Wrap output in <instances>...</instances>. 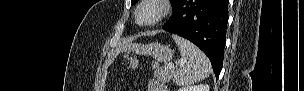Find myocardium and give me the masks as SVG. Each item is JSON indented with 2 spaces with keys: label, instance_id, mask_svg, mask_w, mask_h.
I'll return each instance as SVG.
<instances>
[{
  "label": "myocardium",
  "instance_id": "obj_1",
  "mask_svg": "<svg viewBox=\"0 0 304 91\" xmlns=\"http://www.w3.org/2000/svg\"><path fill=\"white\" fill-rule=\"evenodd\" d=\"M147 4L155 5L158 7V14L151 20L147 22H141L138 18V14L140 9ZM171 12V1L169 0H141L139 1L135 12H134V18L136 23L139 26L143 27H149L154 26L158 23H160L162 20H164Z\"/></svg>",
  "mask_w": 304,
  "mask_h": 91
}]
</instances>
